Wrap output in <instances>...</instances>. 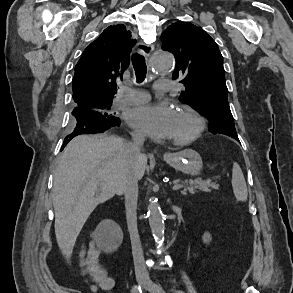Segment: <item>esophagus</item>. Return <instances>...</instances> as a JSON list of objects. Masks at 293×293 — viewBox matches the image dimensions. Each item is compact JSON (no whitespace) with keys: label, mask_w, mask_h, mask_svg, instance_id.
Here are the masks:
<instances>
[{"label":"esophagus","mask_w":293,"mask_h":293,"mask_svg":"<svg viewBox=\"0 0 293 293\" xmlns=\"http://www.w3.org/2000/svg\"><path fill=\"white\" fill-rule=\"evenodd\" d=\"M137 48H138V52L140 54H143L145 56H149L150 53L154 49V45L153 44H145V43L140 42V43H138Z\"/></svg>","instance_id":"34e87169"}]
</instances>
